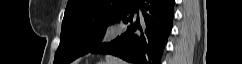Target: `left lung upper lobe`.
<instances>
[{"label": "left lung upper lobe", "mask_w": 242, "mask_h": 64, "mask_svg": "<svg viewBox=\"0 0 242 64\" xmlns=\"http://www.w3.org/2000/svg\"><path fill=\"white\" fill-rule=\"evenodd\" d=\"M132 1L69 0L64 13L60 45L55 53L54 64H69L101 43L107 27L115 23ZM87 34L93 35L92 40L81 45V39Z\"/></svg>", "instance_id": "left-lung-upper-lobe-1"}]
</instances>
